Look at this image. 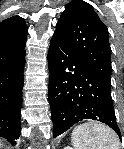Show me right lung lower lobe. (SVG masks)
I'll list each match as a JSON object with an SVG mask.
<instances>
[{"label": "right lung lower lobe", "instance_id": "98d812e1", "mask_svg": "<svg viewBox=\"0 0 124 149\" xmlns=\"http://www.w3.org/2000/svg\"><path fill=\"white\" fill-rule=\"evenodd\" d=\"M26 40L0 47V137L11 141L20 136L23 71Z\"/></svg>", "mask_w": 124, "mask_h": 149}]
</instances>
